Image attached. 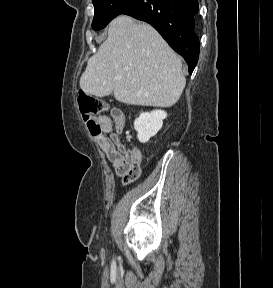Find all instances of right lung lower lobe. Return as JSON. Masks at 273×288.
<instances>
[{"instance_id": "98d812e1", "label": "right lung lower lobe", "mask_w": 273, "mask_h": 288, "mask_svg": "<svg viewBox=\"0 0 273 288\" xmlns=\"http://www.w3.org/2000/svg\"><path fill=\"white\" fill-rule=\"evenodd\" d=\"M198 0H136L122 14L151 24L183 56L191 74L199 57L195 32Z\"/></svg>"}]
</instances>
